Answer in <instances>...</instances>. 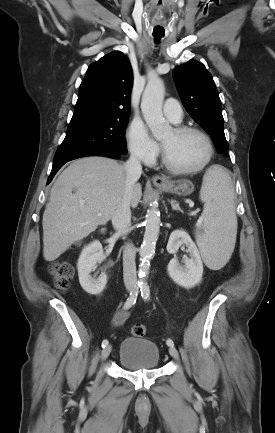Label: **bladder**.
<instances>
[{
	"mask_svg": "<svg viewBox=\"0 0 275 433\" xmlns=\"http://www.w3.org/2000/svg\"><path fill=\"white\" fill-rule=\"evenodd\" d=\"M159 360L158 346L148 339L128 337L120 345L118 361L131 371L155 369L159 366Z\"/></svg>",
	"mask_w": 275,
	"mask_h": 433,
	"instance_id": "1",
	"label": "bladder"
}]
</instances>
